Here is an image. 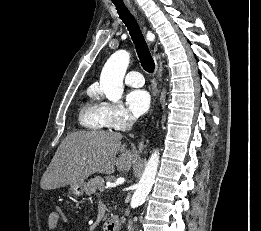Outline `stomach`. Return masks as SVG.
I'll list each match as a JSON object with an SVG mask.
<instances>
[{"label":"stomach","mask_w":261,"mask_h":231,"mask_svg":"<svg viewBox=\"0 0 261 231\" xmlns=\"http://www.w3.org/2000/svg\"><path fill=\"white\" fill-rule=\"evenodd\" d=\"M85 187H86L85 182L70 185L68 189V194L75 197L81 196L85 191Z\"/></svg>","instance_id":"obj_1"}]
</instances>
